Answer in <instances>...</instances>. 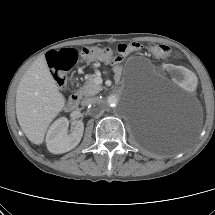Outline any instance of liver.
Returning <instances> with one entry per match:
<instances>
[{"mask_svg":"<svg viewBox=\"0 0 215 215\" xmlns=\"http://www.w3.org/2000/svg\"><path fill=\"white\" fill-rule=\"evenodd\" d=\"M65 102L45 56L39 57L23 75L16 92L17 120L32 143H43L50 123L63 110Z\"/></svg>","mask_w":215,"mask_h":215,"instance_id":"1","label":"liver"}]
</instances>
